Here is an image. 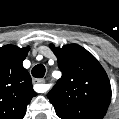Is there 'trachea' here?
Returning a JSON list of instances; mask_svg holds the SVG:
<instances>
[{
	"label": "trachea",
	"mask_w": 119,
	"mask_h": 119,
	"mask_svg": "<svg viewBox=\"0 0 119 119\" xmlns=\"http://www.w3.org/2000/svg\"><path fill=\"white\" fill-rule=\"evenodd\" d=\"M32 75L35 78H42L45 75V67L42 64H38L33 67Z\"/></svg>",
	"instance_id": "obj_1"
}]
</instances>
